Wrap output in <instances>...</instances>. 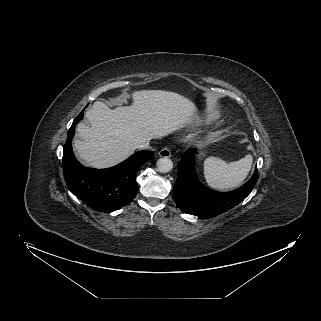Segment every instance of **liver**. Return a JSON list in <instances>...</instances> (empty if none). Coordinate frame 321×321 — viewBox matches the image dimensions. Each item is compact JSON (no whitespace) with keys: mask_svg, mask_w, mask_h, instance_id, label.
<instances>
[{"mask_svg":"<svg viewBox=\"0 0 321 321\" xmlns=\"http://www.w3.org/2000/svg\"><path fill=\"white\" fill-rule=\"evenodd\" d=\"M131 98L130 106L112 110L96 101L86 111L90 126L78 124L80 139L74 148L88 166H114L132 155L138 144L179 131L196 118V105L175 92L137 90Z\"/></svg>","mask_w":321,"mask_h":321,"instance_id":"6515ba94","label":"liver"}]
</instances>
